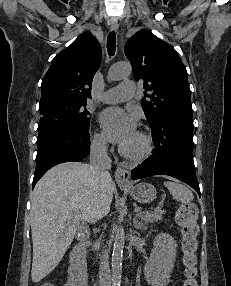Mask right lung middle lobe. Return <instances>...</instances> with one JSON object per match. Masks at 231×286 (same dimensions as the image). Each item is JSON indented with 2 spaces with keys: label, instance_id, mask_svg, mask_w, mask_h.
Masks as SVG:
<instances>
[{
  "label": "right lung middle lobe",
  "instance_id": "1",
  "mask_svg": "<svg viewBox=\"0 0 231 286\" xmlns=\"http://www.w3.org/2000/svg\"><path fill=\"white\" fill-rule=\"evenodd\" d=\"M86 104L81 101H56L39 106L42 117L38 124V137L64 128L88 130L90 118Z\"/></svg>",
  "mask_w": 231,
  "mask_h": 286
}]
</instances>
